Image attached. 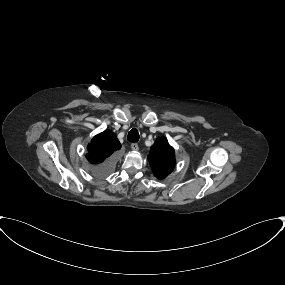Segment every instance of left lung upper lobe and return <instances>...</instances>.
Listing matches in <instances>:
<instances>
[{"label":"left lung upper lobe","mask_w":285,"mask_h":285,"mask_svg":"<svg viewBox=\"0 0 285 285\" xmlns=\"http://www.w3.org/2000/svg\"><path fill=\"white\" fill-rule=\"evenodd\" d=\"M148 159L158 179L167 177L175 167V152L165 137L158 138L150 148Z\"/></svg>","instance_id":"obj_1"}]
</instances>
